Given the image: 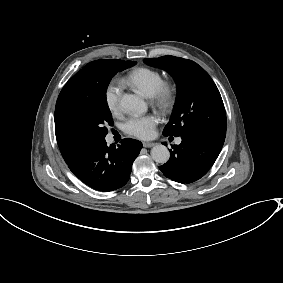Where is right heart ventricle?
<instances>
[{
	"instance_id": "right-heart-ventricle-1",
	"label": "right heart ventricle",
	"mask_w": 283,
	"mask_h": 283,
	"mask_svg": "<svg viewBox=\"0 0 283 283\" xmlns=\"http://www.w3.org/2000/svg\"><path fill=\"white\" fill-rule=\"evenodd\" d=\"M126 85L140 88L146 95H151L163 82L159 71L147 66H135L129 69L123 77Z\"/></svg>"
}]
</instances>
